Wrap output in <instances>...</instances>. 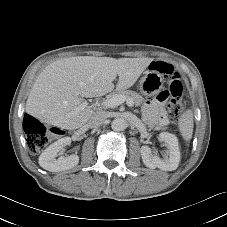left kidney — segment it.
<instances>
[{"label":"left kidney","instance_id":"left-kidney-1","mask_svg":"<svg viewBox=\"0 0 227 227\" xmlns=\"http://www.w3.org/2000/svg\"><path fill=\"white\" fill-rule=\"evenodd\" d=\"M159 138L168 146L166 155L161 159L152 153L150 147L142 146L141 156L144 165L151 169L159 168L164 171L176 170L181 158L177 137L168 132H161Z\"/></svg>","mask_w":227,"mask_h":227}]
</instances>
